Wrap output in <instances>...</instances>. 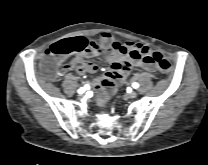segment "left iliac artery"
<instances>
[{
	"label": "left iliac artery",
	"mask_w": 208,
	"mask_h": 165,
	"mask_svg": "<svg viewBox=\"0 0 208 165\" xmlns=\"http://www.w3.org/2000/svg\"><path fill=\"white\" fill-rule=\"evenodd\" d=\"M132 86H133L134 88H138V87H139V84L135 82V83L132 84Z\"/></svg>",
	"instance_id": "1"
}]
</instances>
